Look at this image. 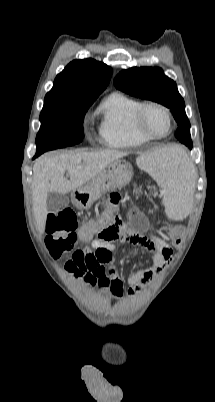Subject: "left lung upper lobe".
Returning <instances> with one entry per match:
<instances>
[{
	"mask_svg": "<svg viewBox=\"0 0 215 402\" xmlns=\"http://www.w3.org/2000/svg\"><path fill=\"white\" fill-rule=\"evenodd\" d=\"M117 89L135 97L151 100L169 108L178 128L176 138L192 148L190 122L185 113V104L176 83L164 75L161 68L133 67L121 71L114 79Z\"/></svg>",
	"mask_w": 215,
	"mask_h": 402,
	"instance_id": "obj_1",
	"label": "left lung upper lobe"
}]
</instances>
